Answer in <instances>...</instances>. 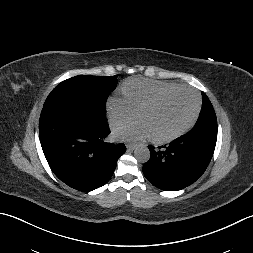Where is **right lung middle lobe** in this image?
<instances>
[{
  "label": "right lung middle lobe",
  "mask_w": 253,
  "mask_h": 253,
  "mask_svg": "<svg viewBox=\"0 0 253 253\" xmlns=\"http://www.w3.org/2000/svg\"><path fill=\"white\" fill-rule=\"evenodd\" d=\"M117 76L78 75L59 83L47 97L44 106L70 103L105 115L106 100L117 85Z\"/></svg>",
  "instance_id": "right-lung-middle-lobe-1"
}]
</instances>
